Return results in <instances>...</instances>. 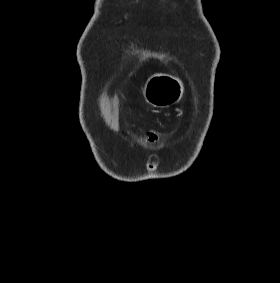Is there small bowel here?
<instances>
[{
  "instance_id": "1",
  "label": "small bowel",
  "mask_w": 280,
  "mask_h": 283,
  "mask_svg": "<svg viewBox=\"0 0 280 283\" xmlns=\"http://www.w3.org/2000/svg\"><path fill=\"white\" fill-rule=\"evenodd\" d=\"M154 140H155V135L153 134V133H150L149 134V142H154Z\"/></svg>"
}]
</instances>
